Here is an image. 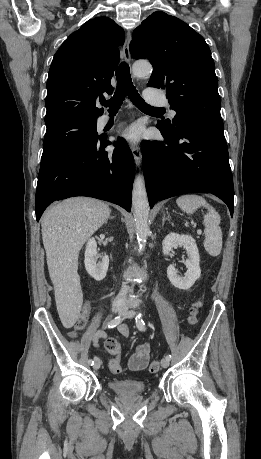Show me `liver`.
Listing matches in <instances>:
<instances>
[{"mask_svg": "<svg viewBox=\"0 0 261 459\" xmlns=\"http://www.w3.org/2000/svg\"><path fill=\"white\" fill-rule=\"evenodd\" d=\"M109 205L88 197L68 198L48 209L41 220L48 271L57 310L72 327L82 304L78 256L85 242L107 221Z\"/></svg>", "mask_w": 261, "mask_h": 459, "instance_id": "liver-1", "label": "liver"}]
</instances>
